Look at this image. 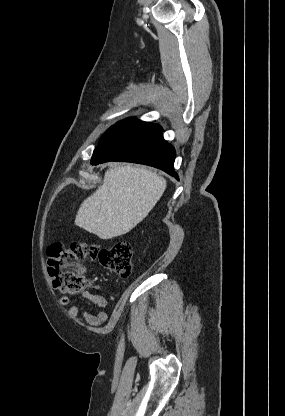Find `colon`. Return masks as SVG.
Segmentation results:
<instances>
[{
    "mask_svg": "<svg viewBox=\"0 0 285 416\" xmlns=\"http://www.w3.org/2000/svg\"><path fill=\"white\" fill-rule=\"evenodd\" d=\"M87 256L121 278L131 274L132 246L127 241H117L108 248H88L81 242L68 245L56 242L48 249V273L53 286L68 294L84 290L87 283L81 260Z\"/></svg>",
    "mask_w": 285,
    "mask_h": 416,
    "instance_id": "obj_1",
    "label": "colon"
}]
</instances>
